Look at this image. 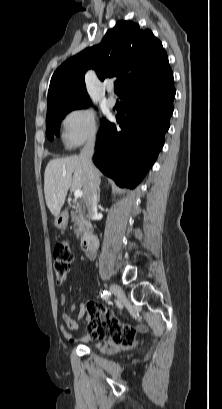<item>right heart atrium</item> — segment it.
I'll use <instances>...</instances> for the list:
<instances>
[{
  "instance_id": "d8ad5b80",
  "label": "right heart atrium",
  "mask_w": 222,
  "mask_h": 409,
  "mask_svg": "<svg viewBox=\"0 0 222 409\" xmlns=\"http://www.w3.org/2000/svg\"><path fill=\"white\" fill-rule=\"evenodd\" d=\"M98 125L95 112L89 107H79L66 114L62 121V140L72 148L96 140Z\"/></svg>"
}]
</instances>
